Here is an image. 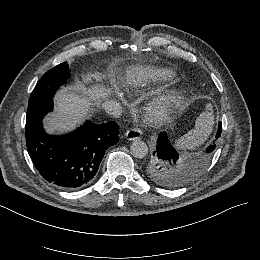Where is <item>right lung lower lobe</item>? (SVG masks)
Instances as JSON below:
<instances>
[{
  "instance_id": "98d812e1",
  "label": "right lung lower lobe",
  "mask_w": 260,
  "mask_h": 260,
  "mask_svg": "<svg viewBox=\"0 0 260 260\" xmlns=\"http://www.w3.org/2000/svg\"><path fill=\"white\" fill-rule=\"evenodd\" d=\"M29 155L42 177L64 190L81 189L96 178L105 151L119 141L116 122L87 121L63 136L47 135L42 119L26 126Z\"/></svg>"
}]
</instances>
